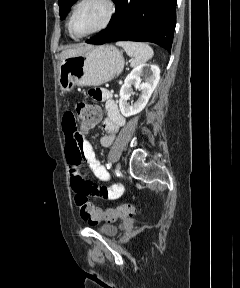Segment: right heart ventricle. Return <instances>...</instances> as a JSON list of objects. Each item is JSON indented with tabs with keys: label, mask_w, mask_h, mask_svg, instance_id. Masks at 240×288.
<instances>
[{
	"label": "right heart ventricle",
	"mask_w": 240,
	"mask_h": 288,
	"mask_svg": "<svg viewBox=\"0 0 240 288\" xmlns=\"http://www.w3.org/2000/svg\"><path fill=\"white\" fill-rule=\"evenodd\" d=\"M70 36L74 38V36H72V34L70 33Z\"/></svg>",
	"instance_id": "right-heart-ventricle-1"
}]
</instances>
